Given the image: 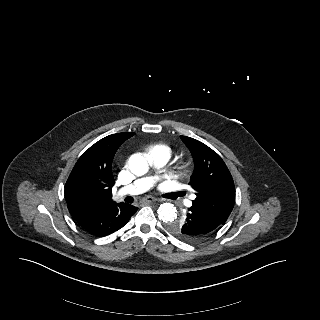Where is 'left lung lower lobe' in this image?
<instances>
[{"label": "left lung lower lobe", "instance_id": "1", "mask_svg": "<svg viewBox=\"0 0 320 320\" xmlns=\"http://www.w3.org/2000/svg\"><path fill=\"white\" fill-rule=\"evenodd\" d=\"M183 231L196 240H201L214 233L221 225L210 215L191 206L182 220Z\"/></svg>", "mask_w": 320, "mask_h": 320}]
</instances>
